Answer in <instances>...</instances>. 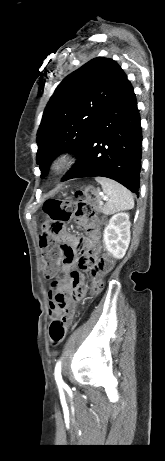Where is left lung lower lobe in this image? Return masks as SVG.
<instances>
[{
	"label": "left lung lower lobe",
	"instance_id": "obj_1",
	"mask_svg": "<svg viewBox=\"0 0 165 461\" xmlns=\"http://www.w3.org/2000/svg\"><path fill=\"white\" fill-rule=\"evenodd\" d=\"M142 133L134 90L125 80L90 131L78 160L62 181L101 176L138 194Z\"/></svg>",
	"mask_w": 165,
	"mask_h": 461
}]
</instances>
